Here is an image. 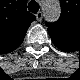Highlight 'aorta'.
<instances>
[{
	"instance_id": "762f6f07",
	"label": "aorta",
	"mask_w": 80,
	"mask_h": 80,
	"mask_svg": "<svg viewBox=\"0 0 80 80\" xmlns=\"http://www.w3.org/2000/svg\"><path fill=\"white\" fill-rule=\"evenodd\" d=\"M60 13V5L55 3L53 6H48L45 8V19L48 22H55L59 19Z\"/></svg>"
}]
</instances>
